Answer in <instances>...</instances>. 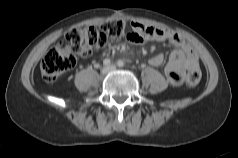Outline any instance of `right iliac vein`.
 <instances>
[{"mask_svg":"<svg viewBox=\"0 0 238 158\" xmlns=\"http://www.w3.org/2000/svg\"><path fill=\"white\" fill-rule=\"evenodd\" d=\"M109 72V68L108 67H104L102 70H101V74L102 75H105Z\"/></svg>","mask_w":238,"mask_h":158,"instance_id":"obj_1","label":"right iliac vein"}]
</instances>
